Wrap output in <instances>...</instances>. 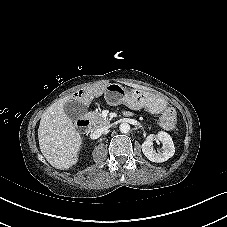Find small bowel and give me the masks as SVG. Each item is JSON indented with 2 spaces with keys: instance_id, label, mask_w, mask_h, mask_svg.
<instances>
[{
  "instance_id": "1",
  "label": "small bowel",
  "mask_w": 227,
  "mask_h": 227,
  "mask_svg": "<svg viewBox=\"0 0 227 227\" xmlns=\"http://www.w3.org/2000/svg\"><path fill=\"white\" fill-rule=\"evenodd\" d=\"M175 124L173 110L170 108L165 109L164 115L158 120V125L164 130L173 129Z\"/></svg>"
}]
</instances>
